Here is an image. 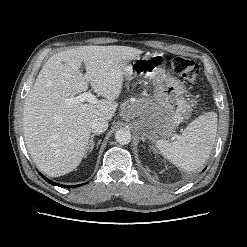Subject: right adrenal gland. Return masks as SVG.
Segmentation results:
<instances>
[{
  "label": "right adrenal gland",
  "mask_w": 247,
  "mask_h": 247,
  "mask_svg": "<svg viewBox=\"0 0 247 247\" xmlns=\"http://www.w3.org/2000/svg\"><path fill=\"white\" fill-rule=\"evenodd\" d=\"M97 135H100V134L94 133V134L91 135V139H90L89 144H88V146H87V151H88L89 153H90V152L93 150V148H94V137L97 136Z\"/></svg>",
  "instance_id": "1"
}]
</instances>
